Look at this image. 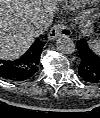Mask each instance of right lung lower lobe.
Wrapping results in <instances>:
<instances>
[{
    "label": "right lung lower lobe",
    "instance_id": "right-lung-lower-lobe-1",
    "mask_svg": "<svg viewBox=\"0 0 100 118\" xmlns=\"http://www.w3.org/2000/svg\"><path fill=\"white\" fill-rule=\"evenodd\" d=\"M44 44L45 42L37 38L19 59L0 60V77L11 81H24L35 75Z\"/></svg>",
    "mask_w": 100,
    "mask_h": 118
}]
</instances>
